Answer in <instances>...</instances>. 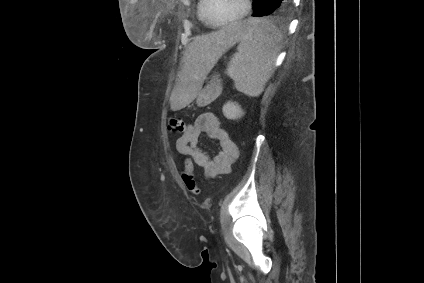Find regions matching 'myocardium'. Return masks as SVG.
I'll use <instances>...</instances> for the list:
<instances>
[{"mask_svg":"<svg viewBox=\"0 0 424 283\" xmlns=\"http://www.w3.org/2000/svg\"><path fill=\"white\" fill-rule=\"evenodd\" d=\"M243 2H244V9L237 17L230 19L228 21L222 22V23L214 24L209 20V17H208V8H209L210 0H204L203 20L208 26L213 27V28L223 27V26L230 25V24H233L235 22H238V21L242 20L243 18H245L249 14V12L251 11V8H252V0H243Z\"/></svg>","mask_w":424,"mask_h":283,"instance_id":"f54148a6","label":"myocardium"}]
</instances>
